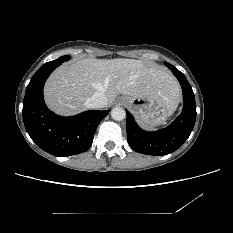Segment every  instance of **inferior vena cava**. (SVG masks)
Instances as JSON below:
<instances>
[{"label":"inferior vena cava","instance_id":"obj_1","mask_svg":"<svg viewBox=\"0 0 233 233\" xmlns=\"http://www.w3.org/2000/svg\"><path fill=\"white\" fill-rule=\"evenodd\" d=\"M86 107L98 109L105 107L107 105V98L105 94L101 92H96L91 98H88L85 102Z\"/></svg>","mask_w":233,"mask_h":233}]
</instances>
